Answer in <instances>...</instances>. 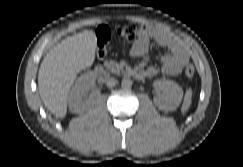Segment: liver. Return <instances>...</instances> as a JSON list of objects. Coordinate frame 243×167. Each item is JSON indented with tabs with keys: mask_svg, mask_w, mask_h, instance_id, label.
I'll return each mask as SVG.
<instances>
[{
	"mask_svg": "<svg viewBox=\"0 0 243 167\" xmlns=\"http://www.w3.org/2000/svg\"><path fill=\"white\" fill-rule=\"evenodd\" d=\"M97 42L93 31L68 37L44 57L38 72V89L47 109L58 118L67 113L70 88L77 74L92 66Z\"/></svg>",
	"mask_w": 243,
	"mask_h": 167,
	"instance_id": "obj_1",
	"label": "liver"
}]
</instances>
